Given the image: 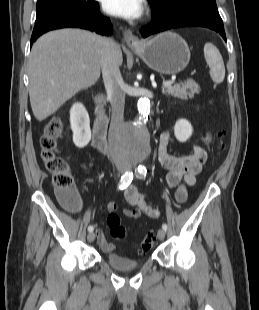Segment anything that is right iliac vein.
Instances as JSON below:
<instances>
[{"mask_svg":"<svg viewBox=\"0 0 259 310\" xmlns=\"http://www.w3.org/2000/svg\"><path fill=\"white\" fill-rule=\"evenodd\" d=\"M117 170L121 173V172H124L126 170V167L123 166V165H118L117 166ZM95 239V233L94 232H90L87 236V240L88 242H93Z\"/></svg>","mask_w":259,"mask_h":310,"instance_id":"obj_1","label":"right iliac vein"}]
</instances>
